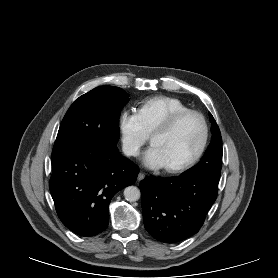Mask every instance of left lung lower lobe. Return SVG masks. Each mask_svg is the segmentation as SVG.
Wrapping results in <instances>:
<instances>
[{
	"label": "left lung lower lobe",
	"instance_id": "0a47b994",
	"mask_svg": "<svg viewBox=\"0 0 278 278\" xmlns=\"http://www.w3.org/2000/svg\"><path fill=\"white\" fill-rule=\"evenodd\" d=\"M218 182L185 175L145 178L139 185L145 229L165 243L194 235L216 200Z\"/></svg>",
	"mask_w": 278,
	"mask_h": 278
}]
</instances>
